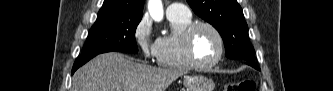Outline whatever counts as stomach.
Listing matches in <instances>:
<instances>
[{"mask_svg": "<svg viewBox=\"0 0 333 91\" xmlns=\"http://www.w3.org/2000/svg\"><path fill=\"white\" fill-rule=\"evenodd\" d=\"M184 85L186 91H213L215 86L212 79L200 75L185 77Z\"/></svg>", "mask_w": 333, "mask_h": 91, "instance_id": "stomach-1", "label": "stomach"}]
</instances>
